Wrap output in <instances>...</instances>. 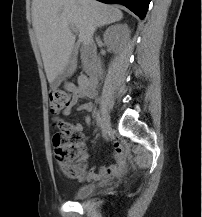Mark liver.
Returning a JSON list of instances; mask_svg holds the SVG:
<instances>
[{
	"instance_id": "6515ba94",
	"label": "liver",
	"mask_w": 202,
	"mask_h": 217,
	"mask_svg": "<svg viewBox=\"0 0 202 217\" xmlns=\"http://www.w3.org/2000/svg\"><path fill=\"white\" fill-rule=\"evenodd\" d=\"M122 12L96 0H33V28L51 84L69 62L75 43L70 27L79 31V43H91L97 27L121 20Z\"/></svg>"
}]
</instances>
